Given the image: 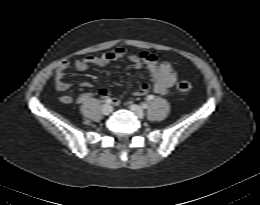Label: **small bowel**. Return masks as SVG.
Returning <instances> with one entry per match:
<instances>
[{
  "mask_svg": "<svg viewBox=\"0 0 260 205\" xmlns=\"http://www.w3.org/2000/svg\"><path fill=\"white\" fill-rule=\"evenodd\" d=\"M126 60L130 62L134 68L140 69L146 67L151 74V84L142 83L135 91L137 96L146 95L150 89L157 94H166L176 82V71L169 62L160 61L156 55L143 51L140 54L129 53L123 47H118L111 52L104 53L100 56H86L79 58L73 62V66L77 71H85L91 66H106L116 61ZM72 65L70 61H63L54 74V87L58 91H66L71 87V83L65 80L66 70ZM101 95L111 100L114 105H119V99L111 94L107 89L101 91ZM88 98L87 94L79 97V101L83 102ZM60 101L64 104H70L72 97L68 94L60 96Z\"/></svg>",
  "mask_w": 260,
  "mask_h": 205,
  "instance_id": "obj_1",
  "label": "small bowel"
}]
</instances>
